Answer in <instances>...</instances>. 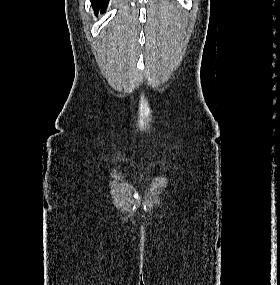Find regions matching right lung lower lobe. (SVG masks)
I'll return each mask as SVG.
<instances>
[{"label":"right lung lower lobe","instance_id":"obj_1","mask_svg":"<svg viewBox=\"0 0 280 285\" xmlns=\"http://www.w3.org/2000/svg\"><path fill=\"white\" fill-rule=\"evenodd\" d=\"M109 0H91V4L94 8L95 13L97 14L101 8V12H104Z\"/></svg>","mask_w":280,"mask_h":285}]
</instances>
